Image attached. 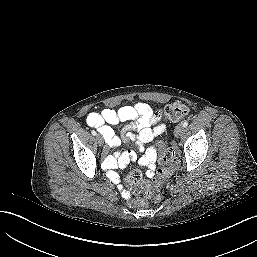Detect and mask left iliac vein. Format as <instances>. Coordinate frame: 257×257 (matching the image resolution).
<instances>
[{
  "mask_svg": "<svg viewBox=\"0 0 257 257\" xmlns=\"http://www.w3.org/2000/svg\"><path fill=\"white\" fill-rule=\"evenodd\" d=\"M183 132H184V127H183V125L179 124L175 127L174 135L176 137H179L183 134Z\"/></svg>",
  "mask_w": 257,
  "mask_h": 257,
  "instance_id": "obj_1",
  "label": "left iliac vein"
}]
</instances>
